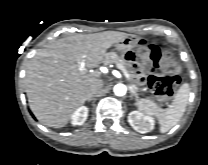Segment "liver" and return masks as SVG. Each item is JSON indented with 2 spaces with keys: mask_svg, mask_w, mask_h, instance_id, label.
<instances>
[{
  "mask_svg": "<svg viewBox=\"0 0 208 165\" xmlns=\"http://www.w3.org/2000/svg\"><path fill=\"white\" fill-rule=\"evenodd\" d=\"M127 36L117 31L79 34L41 49L31 60L25 78L29 106L36 118L49 127H64L84 104L89 86L101 80L99 70L87 73L86 68H98L107 49Z\"/></svg>",
  "mask_w": 208,
  "mask_h": 165,
  "instance_id": "liver-1",
  "label": "liver"
}]
</instances>
